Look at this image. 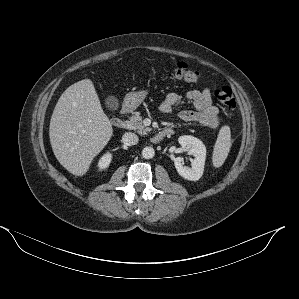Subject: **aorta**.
Returning <instances> with one entry per match:
<instances>
[{
  "label": "aorta",
  "instance_id": "obj_1",
  "mask_svg": "<svg viewBox=\"0 0 299 299\" xmlns=\"http://www.w3.org/2000/svg\"><path fill=\"white\" fill-rule=\"evenodd\" d=\"M154 155H155V150L152 147L147 146V147L143 148V150H142L143 158L151 159L154 157Z\"/></svg>",
  "mask_w": 299,
  "mask_h": 299
}]
</instances>
